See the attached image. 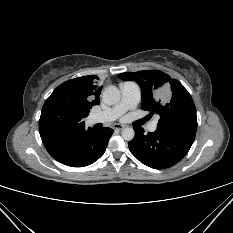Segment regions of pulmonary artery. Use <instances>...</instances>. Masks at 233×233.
<instances>
[{
	"label": "pulmonary artery",
	"mask_w": 233,
	"mask_h": 233,
	"mask_svg": "<svg viewBox=\"0 0 233 233\" xmlns=\"http://www.w3.org/2000/svg\"><path fill=\"white\" fill-rule=\"evenodd\" d=\"M121 99L113 107L100 113L93 114L90 117V122L95 123H107L116 120L122 116L126 111L131 110L137 106L141 97V90L138 84L134 82H124L120 84ZM157 128V122L153 121L148 129L155 131Z\"/></svg>",
	"instance_id": "obj_1"
}]
</instances>
